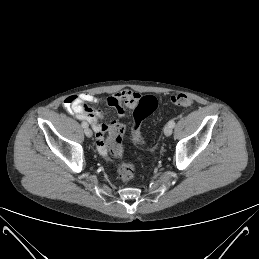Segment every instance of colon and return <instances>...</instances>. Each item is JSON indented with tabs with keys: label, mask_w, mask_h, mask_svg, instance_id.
<instances>
[{
	"label": "colon",
	"mask_w": 259,
	"mask_h": 259,
	"mask_svg": "<svg viewBox=\"0 0 259 259\" xmlns=\"http://www.w3.org/2000/svg\"><path fill=\"white\" fill-rule=\"evenodd\" d=\"M171 102L177 106H190L193 103L192 98L185 93H178L171 96ZM157 99L154 96L147 95L140 97L133 112L132 138L136 143L144 144L145 139L140 134V125L142 121L149 116L157 107ZM125 126L122 123H114L109 128L106 139L105 156L109 159L120 160L123 157V136ZM119 178L128 182L135 177V166L129 162H121L118 166Z\"/></svg>",
	"instance_id": "1"
}]
</instances>
